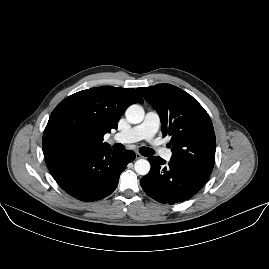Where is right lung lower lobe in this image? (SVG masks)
Listing matches in <instances>:
<instances>
[{"instance_id":"1","label":"right lung lower lobe","mask_w":269,"mask_h":269,"mask_svg":"<svg viewBox=\"0 0 269 269\" xmlns=\"http://www.w3.org/2000/svg\"><path fill=\"white\" fill-rule=\"evenodd\" d=\"M135 158L132 150L118 153L111 147L87 146L45 157L46 165L59 186L74 198L92 202L110 195L119 176Z\"/></svg>"}]
</instances>
